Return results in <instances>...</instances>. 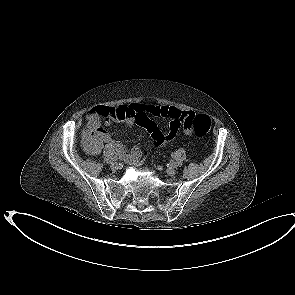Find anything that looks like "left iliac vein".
<instances>
[{
	"label": "left iliac vein",
	"mask_w": 295,
	"mask_h": 295,
	"mask_svg": "<svg viewBox=\"0 0 295 295\" xmlns=\"http://www.w3.org/2000/svg\"><path fill=\"white\" fill-rule=\"evenodd\" d=\"M166 172L170 176H173V175L176 174V170L174 168H172V167L167 168Z\"/></svg>",
	"instance_id": "left-iliac-vein-1"
}]
</instances>
